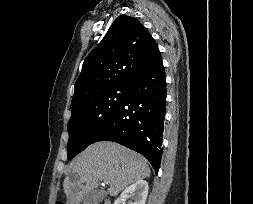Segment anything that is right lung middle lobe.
<instances>
[{
    "label": "right lung middle lobe",
    "instance_id": "obj_1",
    "mask_svg": "<svg viewBox=\"0 0 253 204\" xmlns=\"http://www.w3.org/2000/svg\"><path fill=\"white\" fill-rule=\"evenodd\" d=\"M127 90L128 85L111 87L71 106L69 160L94 142L124 101Z\"/></svg>",
    "mask_w": 253,
    "mask_h": 204
}]
</instances>
